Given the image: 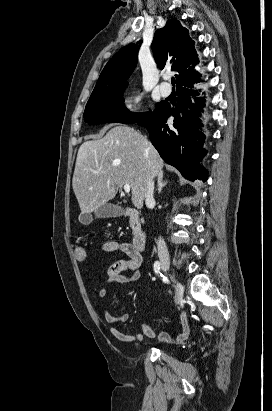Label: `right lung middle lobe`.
I'll list each match as a JSON object with an SVG mask.
<instances>
[{"label":"right lung middle lobe","mask_w":272,"mask_h":411,"mask_svg":"<svg viewBox=\"0 0 272 411\" xmlns=\"http://www.w3.org/2000/svg\"><path fill=\"white\" fill-rule=\"evenodd\" d=\"M127 83L115 84L101 89H95L87 102L84 119L89 124L99 123H137L149 118L156 110L141 114L129 112L124 106L123 90Z\"/></svg>","instance_id":"right-lung-middle-lobe-1"}]
</instances>
